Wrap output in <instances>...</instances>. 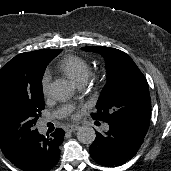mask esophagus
<instances>
[{"mask_svg":"<svg viewBox=\"0 0 171 171\" xmlns=\"http://www.w3.org/2000/svg\"><path fill=\"white\" fill-rule=\"evenodd\" d=\"M78 129H79L78 125H68L65 127V131L67 132H75Z\"/></svg>","mask_w":171,"mask_h":171,"instance_id":"obj_1","label":"esophagus"}]
</instances>
